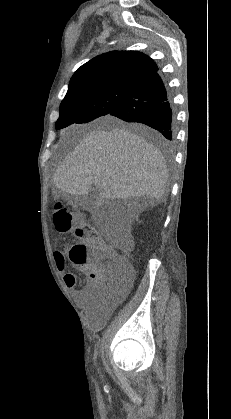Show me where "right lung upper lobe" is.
Wrapping results in <instances>:
<instances>
[{"label": "right lung upper lobe", "mask_w": 231, "mask_h": 419, "mask_svg": "<svg viewBox=\"0 0 231 419\" xmlns=\"http://www.w3.org/2000/svg\"><path fill=\"white\" fill-rule=\"evenodd\" d=\"M158 70L155 62L138 51H111L82 65L72 76L66 96L76 90L103 85L134 86Z\"/></svg>", "instance_id": "cb5924a9"}]
</instances>
